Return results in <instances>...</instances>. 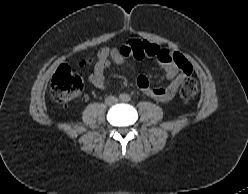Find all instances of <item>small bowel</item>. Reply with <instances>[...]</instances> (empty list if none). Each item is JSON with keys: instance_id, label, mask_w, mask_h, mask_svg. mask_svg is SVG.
Masks as SVG:
<instances>
[{"instance_id": "c3829d8e", "label": "small bowel", "mask_w": 248, "mask_h": 194, "mask_svg": "<svg viewBox=\"0 0 248 194\" xmlns=\"http://www.w3.org/2000/svg\"><path fill=\"white\" fill-rule=\"evenodd\" d=\"M132 42H127L121 48L104 47L98 51L94 71L89 78L92 86L98 89L105 88L104 74L111 67L112 63L119 65L127 64V56H133ZM153 46L154 53L151 56L163 68L165 76L171 79V82L166 87H155L151 85L148 77L142 74L137 78V85L149 97L160 102H168L176 95L187 74L186 68L190 64L179 54L160 49L155 44Z\"/></svg>"}]
</instances>
